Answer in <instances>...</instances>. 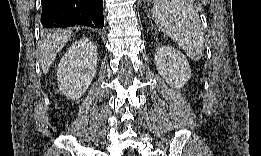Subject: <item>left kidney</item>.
Segmentation results:
<instances>
[{
  "instance_id": "obj_1",
  "label": "left kidney",
  "mask_w": 261,
  "mask_h": 156,
  "mask_svg": "<svg viewBox=\"0 0 261 156\" xmlns=\"http://www.w3.org/2000/svg\"><path fill=\"white\" fill-rule=\"evenodd\" d=\"M155 65L159 74L174 88H182L191 78L186 57L177 49L161 46L156 49Z\"/></svg>"
}]
</instances>
